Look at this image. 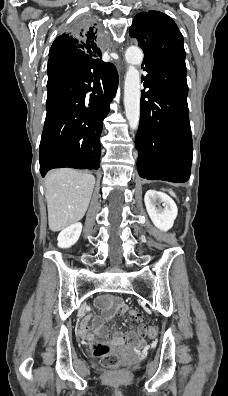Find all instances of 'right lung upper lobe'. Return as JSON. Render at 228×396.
I'll use <instances>...</instances> for the list:
<instances>
[{
	"mask_svg": "<svg viewBox=\"0 0 228 396\" xmlns=\"http://www.w3.org/2000/svg\"><path fill=\"white\" fill-rule=\"evenodd\" d=\"M101 55L95 26L79 28L55 39L49 52L48 71L63 70L64 64L72 60L99 59Z\"/></svg>",
	"mask_w": 228,
	"mask_h": 396,
	"instance_id": "obj_1",
	"label": "right lung upper lobe"
}]
</instances>
